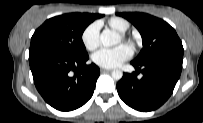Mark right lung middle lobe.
Wrapping results in <instances>:
<instances>
[{
  "label": "right lung middle lobe",
  "mask_w": 203,
  "mask_h": 123,
  "mask_svg": "<svg viewBox=\"0 0 203 123\" xmlns=\"http://www.w3.org/2000/svg\"><path fill=\"white\" fill-rule=\"evenodd\" d=\"M92 21L88 13H69L48 19L33 34L29 51L43 50L68 57H83L87 52L82 34Z\"/></svg>",
  "instance_id": "obj_1"
}]
</instances>
